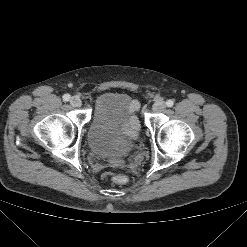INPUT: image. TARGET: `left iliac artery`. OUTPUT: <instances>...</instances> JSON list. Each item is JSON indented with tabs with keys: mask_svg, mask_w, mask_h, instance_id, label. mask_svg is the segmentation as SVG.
Masks as SVG:
<instances>
[{
	"mask_svg": "<svg viewBox=\"0 0 247 247\" xmlns=\"http://www.w3.org/2000/svg\"><path fill=\"white\" fill-rule=\"evenodd\" d=\"M166 105H167V107H172L174 105V101L173 100H167Z\"/></svg>",
	"mask_w": 247,
	"mask_h": 247,
	"instance_id": "left-iliac-artery-1",
	"label": "left iliac artery"
}]
</instances>
